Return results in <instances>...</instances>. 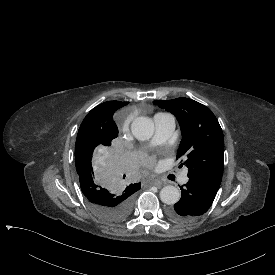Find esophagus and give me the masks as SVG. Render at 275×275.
Here are the masks:
<instances>
[{
    "label": "esophagus",
    "instance_id": "1",
    "mask_svg": "<svg viewBox=\"0 0 275 275\" xmlns=\"http://www.w3.org/2000/svg\"><path fill=\"white\" fill-rule=\"evenodd\" d=\"M152 185H154L156 187H160V186H162V181L160 179H154L152 182Z\"/></svg>",
    "mask_w": 275,
    "mask_h": 275
}]
</instances>
